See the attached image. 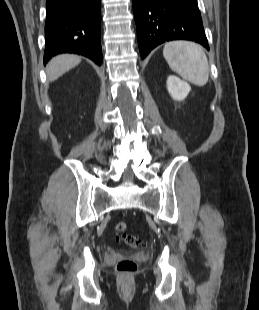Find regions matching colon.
<instances>
[{"label":"colon","instance_id":"5ec220e1","mask_svg":"<svg viewBox=\"0 0 259 310\" xmlns=\"http://www.w3.org/2000/svg\"><path fill=\"white\" fill-rule=\"evenodd\" d=\"M118 233L117 240L124 242L126 245L132 248H139L142 246V241L134 235L124 233L127 229V224L124 222H118L115 226ZM116 269L121 274H132L137 269V264L132 259H122L118 261Z\"/></svg>","mask_w":259,"mask_h":310}]
</instances>
